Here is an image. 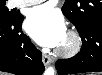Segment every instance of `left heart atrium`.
Segmentation results:
<instances>
[{
  "instance_id": "left-heart-atrium-1",
  "label": "left heart atrium",
  "mask_w": 102,
  "mask_h": 75,
  "mask_svg": "<svg viewBox=\"0 0 102 75\" xmlns=\"http://www.w3.org/2000/svg\"><path fill=\"white\" fill-rule=\"evenodd\" d=\"M25 27L33 40L44 47L59 46L66 36L63 17L49 4L30 9Z\"/></svg>"
}]
</instances>
